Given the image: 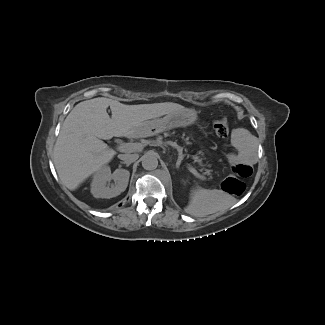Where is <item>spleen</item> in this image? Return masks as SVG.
Here are the masks:
<instances>
[{
    "label": "spleen",
    "instance_id": "obj_1",
    "mask_svg": "<svg viewBox=\"0 0 325 325\" xmlns=\"http://www.w3.org/2000/svg\"><path fill=\"white\" fill-rule=\"evenodd\" d=\"M232 198L221 190L195 187L191 190L190 201L185 211L193 216L203 217L228 209Z\"/></svg>",
    "mask_w": 325,
    "mask_h": 325
}]
</instances>
